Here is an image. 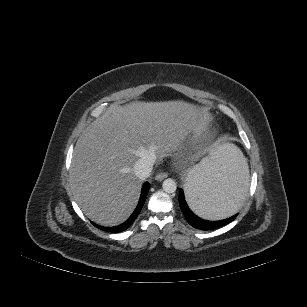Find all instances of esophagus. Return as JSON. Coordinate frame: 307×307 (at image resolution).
Wrapping results in <instances>:
<instances>
[{
    "label": "esophagus",
    "mask_w": 307,
    "mask_h": 307,
    "mask_svg": "<svg viewBox=\"0 0 307 307\" xmlns=\"http://www.w3.org/2000/svg\"><path fill=\"white\" fill-rule=\"evenodd\" d=\"M168 177V173H166V172H160V173H158L156 176H155V180H157V181H162V180H164L165 178H167Z\"/></svg>",
    "instance_id": "esophagus-1"
}]
</instances>
